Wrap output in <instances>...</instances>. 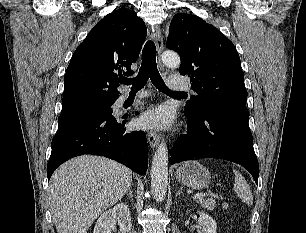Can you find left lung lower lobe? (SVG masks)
<instances>
[{
  "label": "left lung lower lobe",
  "instance_id": "left-lung-lower-lobe-1",
  "mask_svg": "<svg viewBox=\"0 0 306 233\" xmlns=\"http://www.w3.org/2000/svg\"><path fill=\"white\" fill-rule=\"evenodd\" d=\"M187 134L174 144L170 163L213 157L242 165L258 184L259 165L248 126L249 111L219 107L186 116Z\"/></svg>",
  "mask_w": 306,
  "mask_h": 233
}]
</instances>
